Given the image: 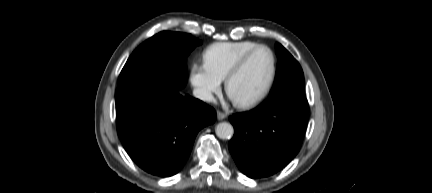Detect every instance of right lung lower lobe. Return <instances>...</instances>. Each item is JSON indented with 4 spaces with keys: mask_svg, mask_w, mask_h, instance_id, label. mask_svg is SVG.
I'll use <instances>...</instances> for the list:
<instances>
[{
    "mask_svg": "<svg viewBox=\"0 0 432 193\" xmlns=\"http://www.w3.org/2000/svg\"><path fill=\"white\" fill-rule=\"evenodd\" d=\"M182 88L157 76L118 86L117 132L125 150L143 170L168 177L186 163L200 129L215 122L216 112L183 95Z\"/></svg>",
    "mask_w": 432,
    "mask_h": 193,
    "instance_id": "obj_1",
    "label": "right lung lower lobe"
}]
</instances>
